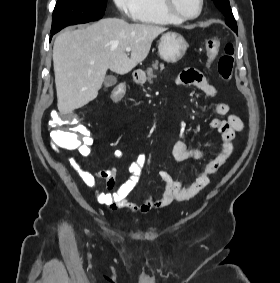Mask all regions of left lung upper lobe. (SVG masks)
I'll return each instance as SVG.
<instances>
[{
	"mask_svg": "<svg viewBox=\"0 0 280 283\" xmlns=\"http://www.w3.org/2000/svg\"><path fill=\"white\" fill-rule=\"evenodd\" d=\"M215 6L224 14L226 17V24L237 33V23L232 14V10L230 8L229 0H213Z\"/></svg>",
	"mask_w": 280,
	"mask_h": 283,
	"instance_id": "5c2ea615",
	"label": "left lung upper lobe"
}]
</instances>
